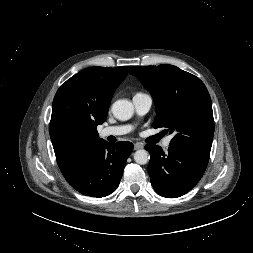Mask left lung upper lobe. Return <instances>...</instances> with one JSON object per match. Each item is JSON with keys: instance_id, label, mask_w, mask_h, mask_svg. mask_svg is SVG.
<instances>
[{"instance_id": "left-lung-upper-lobe-1", "label": "left lung upper lobe", "mask_w": 253, "mask_h": 253, "mask_svg": "<svg viewBox=\"0 0 253 253\" xmlns=\"http://www.w3.org/2000/svg\"><path fill=\"white\" fill-rule=\"evenodd\" d=\"M135 75L150 91L155 107V128L166 127L171 147L209 159L214 135L211 98L203 82L176 66H134Z\"/></svg>"}]
</instances>
